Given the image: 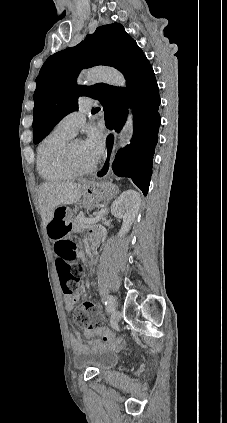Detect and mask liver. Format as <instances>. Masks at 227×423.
<instances>
[{
    "instance_id": "6515ba94",
    "label": "liver",
    "mask_w": 227,
    "mask_h": 423,
    "mask_svg": "<svg viewBox=\"0 0 227 423\" xmlns=\"http://www.w3.org/2000/svg\"><path fill=\"white\" fill-rule=\"evenodd\" d=\"M83 184H73V182H44L38 190V202L41 215L45 223H49L53 217V211L57 206H68L77 204L81 198Z\"/></svg>"
}]
</instances>
